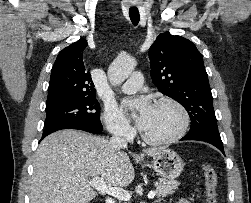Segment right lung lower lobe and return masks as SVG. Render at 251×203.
<instances>
[{
    "label": "right lung lower lobe",
    "mask_w": 251,
    "mask_h": 203,
    "mask_svg": "<svg viewBox=\"0 0 251 203\" xmlns=\"http://www.w3.org/2000/svg\"><path fill=\"white\" fill-rule=\"evenodd\" d=\"M62 129H77V130H83V131H86V132H90V133H93V134L100 133L97 130H94V129H92V128L88 127V126H85L83 124H80V123H64V124H60V125L45 128V130L43 132L42 139L45 138L47 135H49V134H51V133H53L55 131L62 130Z\"/></svg>",
    "instance_id": "obj_1"
}]
</instances>
